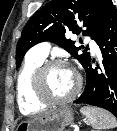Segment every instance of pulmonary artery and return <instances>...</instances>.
Instances as JSON below:
<instances>
[{"mask_svg":"<svg viewBox=\"0 0 117 131\" xmlns=\"http://www.w3.org/2000/svg\"><path fill=\"white\" fill-rule=\"evenodd\" d=\"M85 41L90 44L93 53H97L99 51V48L96 45V43L93 42L89 37H87ZM48 53H49V45L46 43H41L33 47L28 52V58L45 59Z\"/></svg>","mask_w":117,"mask_h":131,"instance_id":"obj_1","label":"pulmonary artery"}]
</instances>
